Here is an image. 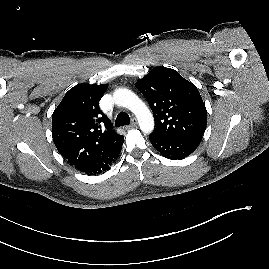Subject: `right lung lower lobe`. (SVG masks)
Wrapping results in <instances>:
<instances>
[{"label":"right lung lower lobe","mask_w":269,"mask_h":269,"mask_svg":"<svg viewBox=\"0 0 269 269\" xmlns=\"http://www.w3.org/2000/svg\"><path fill=\"white\" fill-rule=\"evenodd\" d=\"M124 137L116 143L112 148L106 150L98 158H95L84 167L78 169L87 175H96L104 173L110 168V165L118 158L123 145Z\"/></svg>","instance_id":"1"}]
</instances>
